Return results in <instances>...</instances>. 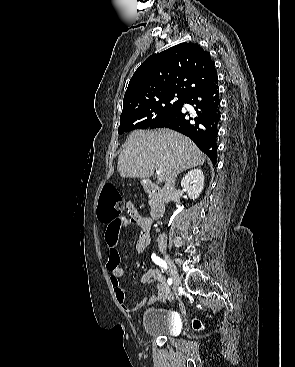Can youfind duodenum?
<instances>
[{
	"label": "duodenum",
	"mask_w": 295,
	"mask_h": 367,
	"mask_svg": "<svg viewBox=\"0 0 295 367\" xmlns=\"http://www.w3.org/2000/svg\"><path fill=\"white\" fill-rule=\"evenodd\" d=\"M144 190L152 197L151 217L160 218L166 209V201L163 190L149 179L142 181Z\"/></svg>",
	"instance_id": "obj_1"
}]
</instances>
